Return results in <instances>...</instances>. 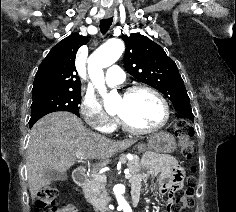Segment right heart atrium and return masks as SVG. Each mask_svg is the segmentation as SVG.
I'll return each instance as SVG.
<instances>
[{
    "mask_svg": "<svg viewBox=\"0 0 236 212\" xmlns=\"http://www.w3.org/2000/svg\"><path fill=\"white\" fill-rule=\"evenodd\" d=\"M80 113L88 126L99 132H111L115 118L107 114L100 101L92 95L83 96L80 102Z\"/></svg>",
    "mask_w": 236,
    "mask_h": 212,
    "instance_id": "d8ad5b80",
    "label": "right heart atrium"
}]
</instances>
